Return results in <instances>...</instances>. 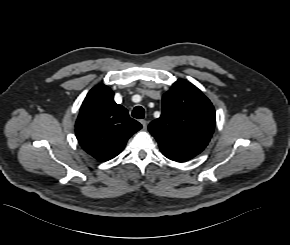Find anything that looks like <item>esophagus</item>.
Returning a JSON list of instances; mask_svg holds the SVG:
<instances>
[{
    "label": "esophagus",
    "mask_w": 290,
    "mask_h": 245,
    "mask_svg": "<svg viewBox=\"0 0 290 245\" xmlns=\"http://www.w3.org/2000/svg\"><path fill=\"white\" fill-rule=\"evenodd\" d=\"M140 123L142 124L143 129L147 128L148 122L146 120L142 119V120H140Z\"/></svg>",
    "instance_id": "esophagus-1"
}]
</instances>
